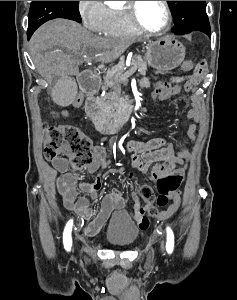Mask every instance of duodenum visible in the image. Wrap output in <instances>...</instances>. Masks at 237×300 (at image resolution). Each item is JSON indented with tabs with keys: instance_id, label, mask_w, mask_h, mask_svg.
<instances>
[{
	"instance_id": "obj_1",
	"label": "duodenum",
	"mask_w": 237,
	"mask_h": 300,
	"mask_svg": "<svg viewBox=\"0 0 237 300\" xmlns=\"http://www.w3.org/2000/svg\"><path fill=\"white\" fill-rule=\"evenodd\" d=\"M98 82V77L90 71H85L79 76V86L86 97L85 109L99 132L114 134L129 121L135 112L136 103L133 100L128 101L118 115L114 117L108 115L95 96Z\"/></svg>"
}]
</instances>
